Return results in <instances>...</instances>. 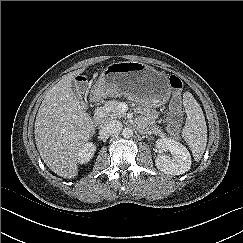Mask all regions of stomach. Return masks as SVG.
<instances>
[{
	"label": "stomach",
	"mask_w": 243,
	"mask_h": 243,
	"mask_svg": "<svg viewBox=\"0 0 243 243\" xmlns=\"http://www.w3.org/2000/svg\"><path fill=\"white\" fill-rule=\"evenodd\" d=\"M167 76L139 61L109 64L94 87L98 97L125 96L139 103L160 106L170 97Z\"/></svg>",
	"instance_id": "1"
}]
</instances>
